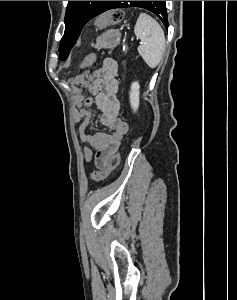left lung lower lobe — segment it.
I'll list each match as a JSON object with an SVG mask.
<instances>
[{
  "instance_id": "0a47b994",
  "label": "left lung lower lobe",
  "mask_w": 237,
  "mask_h": 300,
  "mask_svg": "<svg viewBox=\"0 0 237 300\" xmlns=\"http://www.w3.org/2000/svg\"><path fill=\"white\" fill-rule=\"evenodd\" d=\"M115 8H120V1H110L109 4L105 7L104 12ZM160 8L162 10L166 9L165 3L163 1H160Z\"/></svg>"
}]
</instances>
